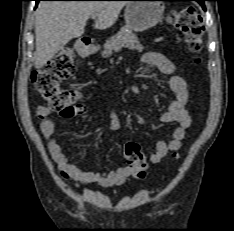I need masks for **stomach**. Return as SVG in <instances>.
<instances>
[{
	"label": "stomach",
	"instance_id": "stomach-1",
	"mask_svg": "<svg viewBox=\"0 0 234 231\" xmlns=\"http://www.w3.org/2000/svg\"><path fill=\"white\" fill-rule=\"evenodd\" d=\"M164 3L158 0H132L128 2L124 11L127 27L134 32H142L156 26L163 17ZM92 49V53L97 51ZM85 53V50H80Z\"/></svg>",
	"mask_w": 234,
	"mask_h": 231
}]
</instances>
